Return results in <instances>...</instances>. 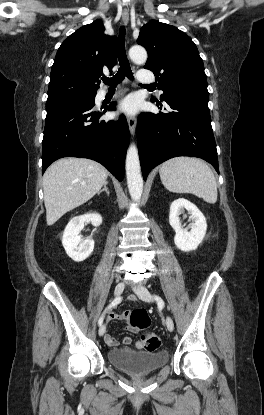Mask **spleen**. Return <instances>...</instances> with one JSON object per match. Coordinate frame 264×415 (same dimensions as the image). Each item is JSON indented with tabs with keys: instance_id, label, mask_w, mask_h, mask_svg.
I'll list each match as a JSON object with an SVG mask.
<instances>
[{
	"instance_id": "obj_1",
	"label": "spleen",
	"mask_w": 264,
	"mask_h": 415,
	"mask_svg": "<svg viewBox=\"0 0 264 415\" xmlns=\"http://www.w3.org/2000/svg\"><path fill=\"white\" fill-rule=\"evenodd\" d=\"M162 184L174 193H191L208 203L217 201V184L210 167L192 157H176L159 169Z\"/></svg>"
}]
</instances>
